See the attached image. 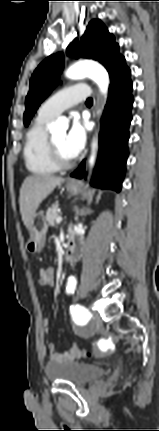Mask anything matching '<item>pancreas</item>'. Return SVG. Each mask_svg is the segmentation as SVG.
Listing matches in <instances>:
<instances>
[{"label": "pancreas", "instance_id": "obj_1", "mask_svg": "<svg viewBox=\"0 0 159 431\" xmlns=\"http://www.w3.org/2000/svg\"><path fill=\"white\" fill-rule=\"evenodd\" d=\"M59 211H58V203L53 204L51 207L48 208L46 213V221L48 225L54 226L56 219L59 217Z\"/></svg>", "mask_w": 159, "mask_h": 431}]
</instances>
